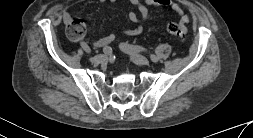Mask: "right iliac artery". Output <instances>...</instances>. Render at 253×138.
<instances>
[{"instance_id": "1", "label": "right iliac artery", "mask_w": 253, "mask_h": 138, "mask_svg": "<svg viewBox=\"0 0 253 138\" xmlns=\"http://www.w3.org/2000/svg\"><path fill=\"white\" fill-rule=\"evenodd\" d=\"M80 46H81V48L83 49V51H84L86 54H89V53L91 52L90 47L88 46V44H87L85 41H82V42L80 43ZM103 51H104L106 54H108V53L111 52V50H110L109 47H105V48L103 49Z\"/></svg>"}]
</instances>
